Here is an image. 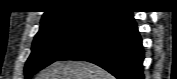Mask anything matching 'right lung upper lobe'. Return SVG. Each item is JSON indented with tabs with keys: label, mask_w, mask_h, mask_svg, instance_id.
Instances as JSON below:
<instances>
[{
	"label": "right lung upper lobe",
	"mask_w": 177,
	"mask_h": 79,
	"mask_svg": "<svg viewBox=\"0 0 177 79\" xmlns=\"http://www.w3.org/2000/svg\"><path fill=\"white\" fill-rule=\"evenodd\" d=\"M55 3L53 10L47 11L43 15L41 26L56 21L78 19L92 15L102 16L121 7L114 4L116 2L103 0H62Z\"/></svg>",
	"instance_id": "right-lung-upper-lobe-1"
}]
</instances>
